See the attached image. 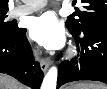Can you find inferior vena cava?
<instances>
[{
	"instance_id": "obj_1",
	"label": "inferior vena cava",
	"mask_w": 107,
	"mask_h": 89,
	"mask_svg": "<svg viewBox=\"0 0 107 89\" xmlns=\"http://www.w3.org/2000/svg\"><path fill=\"white\" fill-rule=\"evenodd\" d=\"M39 53H40V52H39L38 50H35V51H34V56H35L36 59L39 58Z\"/></svg>"
}]
</instances>
